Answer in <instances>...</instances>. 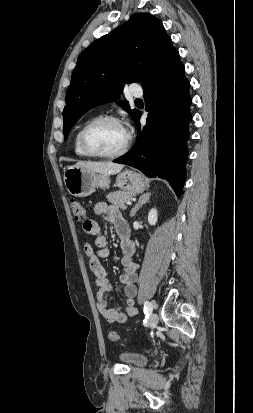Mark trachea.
Wrapping results in <instances>:
<instances>
[{"label":"trachea","instance_id":"3493384b","mask_svg":"<svg viewBox=\"0 0 253 413\" xmlns=\"http://www.w3.org/2000/svg\"><path fill=\"white\" fill-rule=\"evenodd\" d=\"M135 102H142V100L141 99H136Z\"/></svg>","mask_w":253,"mask_h":413}]
</instances>
